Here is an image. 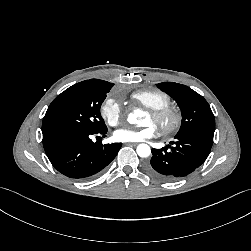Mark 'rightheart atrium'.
<instances>
[{
  "label": "right heart atrium",
  "mask_w": 251,
  "mask_h": 251,
  "mask_svg": "<svg viewBox=\"0 0 251 251\" xmlns=\"http://www.w3.org/2000/svg\"><path fill=\"white\" fill-rule=\"evenodd\" d=\"M100 113L110 126L118 125L124 116L122 103L116 97H108L103 102Z\"/></svg>",
  "instance_id": "right-heart-atrium-1"
}]
</instances>
